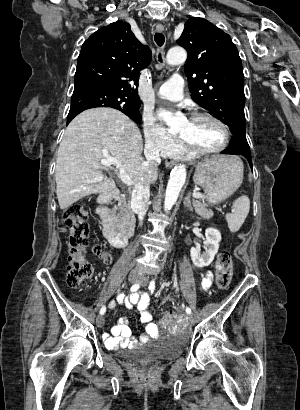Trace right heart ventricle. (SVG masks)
Segmentation results:
<instances>
[{
    "mask_svg": "<svg viewBox=\"0 0 300 410\" xmlns=\"http://www.w3.org/2000/svg\"><path fill=\"white\" fill-rule=\"evenodd\" d=\"M175 159H191L192 155L186 150V148L182 147V146H178L170 155Z\"/></svg>",
    "mask_w": 300,
    "mask_h": 410,
    "instance_id": "1",
    "label": "right heart ventricle"
}]
</instances>
